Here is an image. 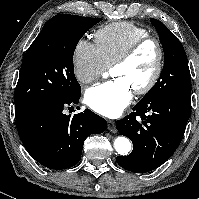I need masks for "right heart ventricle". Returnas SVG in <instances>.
Returning <instances> with one entry per match:
<instances>
[{
    "label": "right heart ventricle",
    "instance_id": "1",
    "mask_svg": "<svg viewBox=\"0 0 199 199\" xmlns=\"http://www.w3.org/2000/svg\"><path fill=\"white\" fill-rule=\"evenodd\" d=\"M148 35L146 29L132 22H115L98 29L95 40L109 67L133 42Z\"/></svg>",
    "mask_w": 199,
    "mask_h": 199
}]
</instances>
